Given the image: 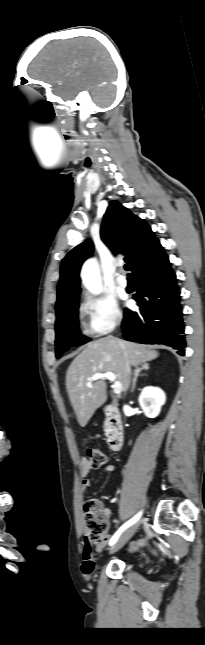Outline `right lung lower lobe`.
Segmentation results:
<instances>
[{"mask_svg":"<svg viewBox=\"0 0 205 645\" xmlns=\"http://www.w3.org/2000/svg\"><path fill=\"white\" fill-rule=\"evenodd\" d=\"M139 311L125 309L123 337L143 344H163L185 354L184 321L175 272L165 254L134 274Z\"/></svg>","mask_w":205,"mask_h":645,"instance_id":"obj_1","label":"right lung lower lobe"}]
</instances>
